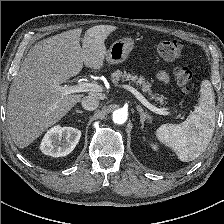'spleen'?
<instances>
[{
  "instance_id": "obj_1",
  "label": "spleen",
  "mask_w": 224,
  "mask_h": 224,
  "mask_svg": "<svg viewBox=\"0 0 224 224\" xmlns=\"http://www.w3.org/2000/svg\"><path fill=\"white\" fill-rule=\"evenodd\" d=\"M215 127V95L209 80L201 82L200 97L194 111L181 124H163L157 139L172 149L179 160H195L209 145Z\"/></svg>"
}]
</instances>
